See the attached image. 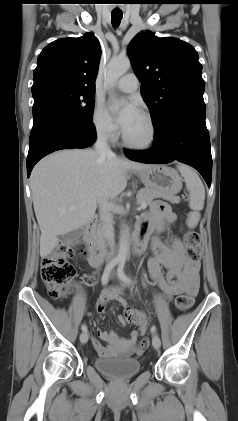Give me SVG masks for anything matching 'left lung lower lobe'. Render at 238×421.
<instances>
[{"mask_svg":"<svg viewBox=\"0 0 238 421\" xmlns=\"http://www.w3.org/2000/svg\"><path fill=\"white\" fill-rule=\"evenodd\" d=\"M151 150L124 151L134 161L164 164L174 160L194 167L211 185L212 157L210 140L205 123V107H191L174 114L156 132Z\"/></svg>","mask_w":238,"mask_h":421,"instance_id":"0a47b994","label":"left lung lower lobe"}]
</instances>
